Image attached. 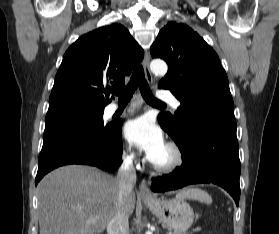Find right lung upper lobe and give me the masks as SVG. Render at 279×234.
I'll return each mask as SVG.
<instances>
[{
  "label": "right lung upper lobe",
  "instance_id": "cb5924a9",
  "mask_svg": "<svg viewBox=\"0 0 279 234\" xmlns=\"http://www.w3.org/2000/svg\"><path fill=\"white\" fill-rule=\"evenodd\" d=\"M143 56L142 48L120 24L82 35L64 54L48 110L67 105L104 108L111 102L110 85L123 86L124 77Z\"/></svg>",
  "mask_w": 279,
  "mask_h": 234
}]
</instances>
